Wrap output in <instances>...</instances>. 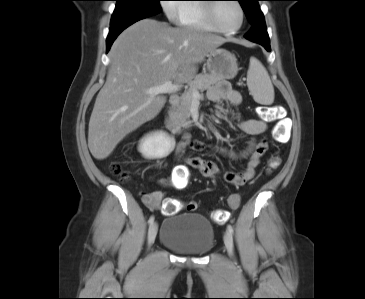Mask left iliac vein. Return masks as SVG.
I'll return each mask as SVG.
<instances>
[{
	"label": "left iliac vein",
	"instance_id": "obj_1",
	"mask_svg": "<svg viewBox=\"0 0 365 299\" xmlns=\"http://www.w3.org/2000/svg\"><path fill=\"white\" fill-rule=\"evenodd\" d=\"M224 243L227 249L228 255L230 257L234 256V245H233V238L229 231H227L224 235Z\"/></svg>",
	"mask_w": 365,
	"mask_h": 299
}]
</instances>
